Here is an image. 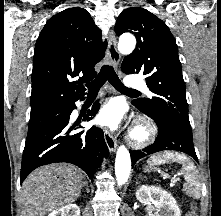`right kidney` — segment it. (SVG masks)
Instances as JSON below:
<instances>
[{
    "label": "right kidney",
    "instance_id": "obj_1",
    "mask_svg": "<svg viewBox=\"0 0 221 216\" xmlns=\"http://www.w3.org/2000/svg\"><path fill=\"white\" fill-rule=\"evenodd\" d=\"M48 216H80V209L76 204H68L52 211Z\"/></svg>",
    "mask_w": 221,
    "mask_h": 216
}]
</instances>
